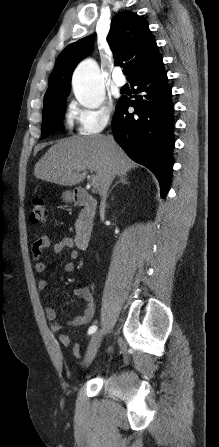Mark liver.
Here are the masks:
<instances>
[{
    "mask_svg": "<svg viewBox=\"0 0 219 447\" xmlns=\"http://www.w3.org/2000/svg\"><path fill=\"white\" fill-rule=\"evenodd\" d=\"M137 167L123 149L104 135L72 137L58 141L36 163L34 176L47 182L73 186L84 181L87 169L95 171L94 179L102 195L107 178L121 176Z\"/></svg>",
    "mask_w": 219,
    "mask_h": 447,
    "instance_id": "6515ba94",
    "label": "liver"
}]
</instances>
